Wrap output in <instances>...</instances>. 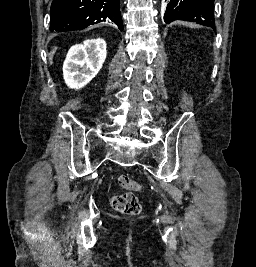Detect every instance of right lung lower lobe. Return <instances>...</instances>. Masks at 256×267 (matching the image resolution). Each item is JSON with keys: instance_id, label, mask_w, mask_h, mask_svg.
<instances>
[{"instance_id": "right-lung-lower-lobe-1", "label": "right lung lower lobe", "mask_w": 256, "mask_h": 267, "mask_svg": "<svg viewBox=\"0 0 256 267\" xmlns=\"http://www.w3.org/2000/svg\"><path fill=\"white\" fill-rule=\"evenodd\" d=\"M113 22L123 30L119 0H53L51 31L82 30L100 22Z\"/></svg>"}]
</instances>
